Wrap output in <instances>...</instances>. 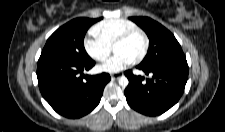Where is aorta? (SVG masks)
Returning a JSON list of instances; mask_svg holds the SVG:
<instances>
[{
	"mask_svg": "<svg viewBox=\"0 0 225 132\" xmlns=\"http://www.w3.org/2000/svg\"><path fill=\"white\" fill-rule=\"evenodd\" d=\"M118 82L121 87H127L129 84V81H128L127 77H125V76H121L119 78Z\"/></svg>",
	"mask_w": 225,
	"mask_h": 132,
	"instance_id": "obj_1",
	"label": "aorta"
}]
</instances>
